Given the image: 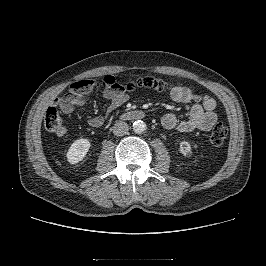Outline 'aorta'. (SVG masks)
Returning a JSON list of instances; mask_svg holds the SVG:
<instances>
[{"label": "aorta", "instance_id": "762f6f07", "mask_svg": "<svg viewBox=\"0 0 266 266\" xmlns=\"http://www.w3.org/2000/svg\"><path fill=\"white\" fill-rule=\"evenodd\" d=\"M146 124L145 122L141 121V120H137L133 123V131L136 134H142L145 130H146Z\"/></svg>", "mask_w": 266, "mask_h": 266}]
</instances>
